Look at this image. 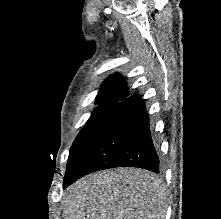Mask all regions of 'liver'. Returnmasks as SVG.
I'll return each instance as SVG.
<instances>
[{"instance_id": "liver-1", "label": "liver", "mask_w": 221, "mask_h": 219, "mask_svg": "<svg viewBox=\"0 0 221 219\" xmlns=\"http://www.w3.org/2000/svg\"><path fill=\"white\" fill-rule=\"evenodd\" d=\"M152 172L118 168L85 176L65 197V219H165V187Z\"/></svg>"}]
</instances>
